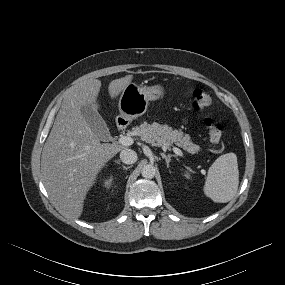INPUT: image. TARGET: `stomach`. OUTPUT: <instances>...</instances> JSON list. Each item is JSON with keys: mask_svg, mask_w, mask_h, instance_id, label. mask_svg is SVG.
Instances as JSON below:
<instances>
[{"mask_svg": "<svg viewBox=\"0 0 285 285\" xmlns=\"http://www.w3.org/2000/svg\"><path fill=\"white\" fill-rule=\"evenodd\" d=\"M164 95L165 88L161 85L147 87L129 83L119 99L120 116L125 121H132L146 112L149 101L162 99Z\"/></svg>", "mask_w": 285, "mask_h": 285, "instance_id": "obj_1", "label": "stomach"}]
</instances>
